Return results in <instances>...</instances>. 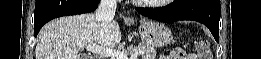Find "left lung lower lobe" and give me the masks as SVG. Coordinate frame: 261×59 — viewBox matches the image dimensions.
<instances>
[{
	"instance_id": "obj_1",
	"label": "left lung lower lobe",
	"mask_w": 261,
	"mask_h": 59,
	"mask_svg": "<svg viewBox=\"0 0 261 59\" xmlns=\"http://www.w3.org/2000/svg\"><path fill=\"white\" fill-rule=\"evenodd\" d=\"M136 11L148 18L172 22L194 20L206 25L219 42L220 0H175L162 9L136 8Z\"/></svg>"
}]
</instances>
